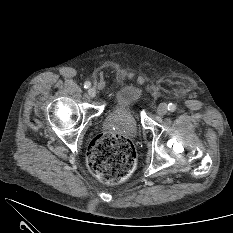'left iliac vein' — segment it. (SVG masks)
<instances>
[{"label":"left iliac vein","instance_id":"4c4485c4","mask_svg":"<svg viewBox=\"0 0 233 233\" xmlns=\"http://www.w3.org/2000/svg\"><path fill=\"white\" fill-rule=\"evenodd\" d=\"M168 112V107L165 103H161L158 108H157V113L160 115V116H163L165 115L166 113Z\"/></svg>","mask_w":233,"mask_h":233}]
</instances>
